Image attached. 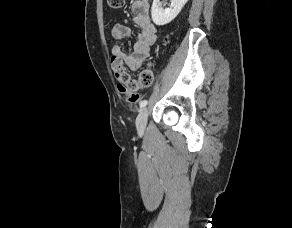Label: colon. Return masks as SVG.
Segmentation results:
<instances>
[{
  "mask_svg": "<svg viewBox=\"0 0 292 228\" xmlns=\"http://www.w3.org/2000/svg\"><path fill=\"white\" fill-rule=\"evenodd\" d=\"M124 2L125 0H107V5L111 9H119L124 5ZM112 69L118 80V89L128 102H138L140 90L150 87L153 83L154 75L151 63H148L139 72L137 78H132L128 71L119 63L113 65Z\"/></svg>",
  "mask_w": 292,
  "mask_h": 228,
  "instance_id": "obj_1",
  "label": "colon"
}]
</instances>
